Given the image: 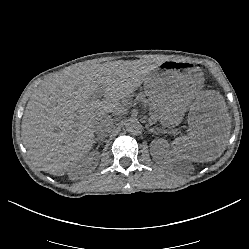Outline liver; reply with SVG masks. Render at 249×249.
<instances>
[{
    "mask_svg": "<svg viewBox=\"0 0 249 249\" xmlns=\"http://www.w3.org/2000/svg\"><path fill=\"white\" fill-rule=\"evenodd\" d=\"M152 75L150 67H68L36 87L24 112L21 137L33 165L62 176L80 167L91 152L93 125L115 112ZM100 92L103 98L95 97ZM154 119L171 129L188 112L189 135L172 142L175 159L207 163L222 155L231 133L225 100L216 92H202L192 104L172 106L162 94L151 93Z\"/></svg>",
    "mask_w": 249,
    "mask_h": 249,
    "instance_id": "obj_1",
    "label": "liver"
}]
</instances>
